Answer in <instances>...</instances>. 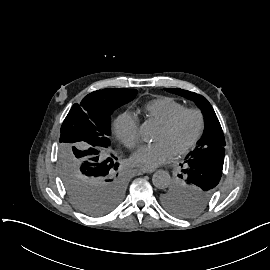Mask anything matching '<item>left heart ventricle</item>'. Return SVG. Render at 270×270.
Instances as JSON below:
<instances>
[{
	"mask_svg": "<svg viewBox=\"0 0 270 270\" xmlns=\"http://www.w3.org/2000/svg\"><path fill=\"white\" fill-rule=\"evenodd\" d=\"M197 127V119L193 114L186 115L171 131L163 126L159 129L155 141H168L177 150L187 144L193 137Z\"/></svg>",
	"mask_w": 270,
	"mask_h": 270,
	"instance_id": "1",
	"label": "left heart ventricle"
}]
</instances>
